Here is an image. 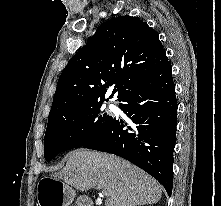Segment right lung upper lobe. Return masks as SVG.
I'll return each instance as SVG.
<instances>
[{"label": "right lung upper lobe", "instance_id": "right-lung-upper-lobe-1", "mask_svg": "<svg viewBox=\"0 0 221 206\" xmlns=\"http://www.w3.org/2000/svg\"><path fill=\"white\" fill-rule=\"evenodd\" d=\"M168 59L158 34L136 17L121 16L103 23L61 73L50 115L84 104L120 100L133 87L162 68Z\"/></svg>", "mask_w": 221, "mask_h": 206}]
</instances>
